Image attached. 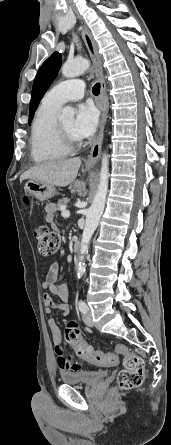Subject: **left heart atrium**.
Returning a JSON list of instances; mask_svg holds the SVG:
<instances>
[{
  "mask_svg": "<svg viewBox=\"0 0 171 445\" xmlns=\"http://www.w3.org/2000/svg\"><path fill=\"white\" fill-rule=\"evenodd\" d=\"M98 118V110L93 104L79 105L73 124L74 134L79 139L91 136L97 128Z\"/></svg>",
  "mask_w": 171,
  "mask_h": 445,
  "instance_id": "39dd6f15",
  "label": "left heart atrium"
}]
</instances>
